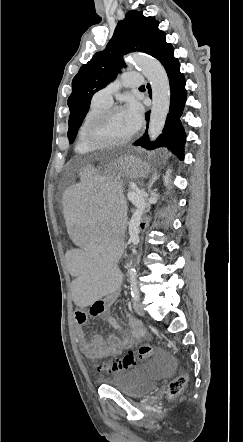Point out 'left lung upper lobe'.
<instances>
[{"mask_svg": "<svg viewBox=\"0 0 243 442\" xmlns=\"http://www.w3.org/2000/svg\"><path fill=\"white\" fill-rule=\"evenodd\" d=\"M159 22L145 17L142 12L130 11L118 23L113 37L103 51L94 54L72 80V94L68 98L70 109L68 138L72 143L90 107L94 93L104 88L125 66L123 55L144 52L154 55L165 33Z\"/></svg>", "mask_w": 243, "mask_h": 442, "instance_id": "1", "label": "left lung upper lobe"}]
</instances>
